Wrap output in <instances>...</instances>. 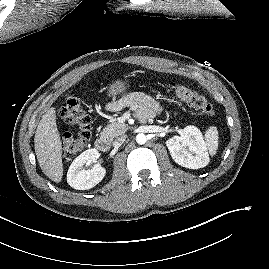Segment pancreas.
Segmentation results:
<instances>
[{"label":"pancreas","mask_w":269,"mask_h":269,"mask_svg":"<svg viewBox=\"0 0 269 269\" xmlns=\"http://www.w3.org/2000/svg\"><path fill=\"white\" fill-rule=\"evenodd\" d=\"M128 129V125L120 122L109 123L101 132V137L112 140L115 137L123 135Z\"/></svg>","instance_id":"1"}]
</instances>
